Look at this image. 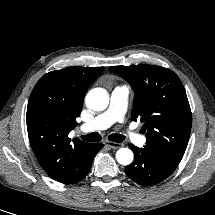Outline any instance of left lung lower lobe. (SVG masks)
<instances>
[{
	"instance_id": "left-lung-lower-lobe-1",
	"label": "left lung lower lobe",
	"mask_w": 215,
	"mask_h": 215,
	"mask_svg": "<svg viewBox=\"0 0 215 215\" xmlns=\"http://www.w3.org/2000/svg\"><path fill=\"white\" fill-rule=\"evenodd\" d=\"M129 147L133 150L135 159L125 168V172L140 185H155L170 176L178 166L166 161L147 146L138 148L130 144Z\"/></svg>"
}]
</instances>
